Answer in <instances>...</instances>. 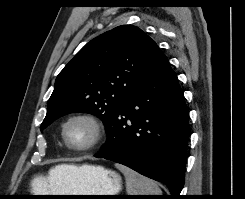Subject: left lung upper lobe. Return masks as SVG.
<instances>
[{"mask_svg": "<svg viewBox=\"0 0 245 199\" xmlns=\"http://www.w3.org/2000/svg\"><path fill=\"white\" fill-rule=\"evenodd\" d=\"M163 52L140 28L118 26L88 42L59 73L44 130L72 112L98 116L107 126L129 95L152 74Z\"/></svg>", "mask_w": 245, "mask_h": 199, "instance_id": "5c2ea615", "label": "left lung upper lobe"}]
</instances>
